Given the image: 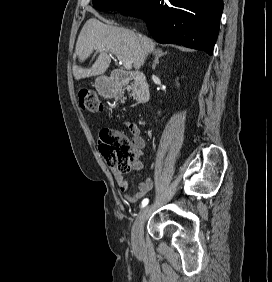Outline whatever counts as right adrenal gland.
Wrapping results in <instances>:
<instances>
[{
  "mask_svg": "<svg viewBox=\"0 0 272 282\" xmlns=\"http://www.w3.org/2000/svg\"><path fill=\"white\" fill-rule=\"evenodd\" d=\"M166 54H167V52H163L162 49L157 48V49L154 50L155 60L152 64V69H155L159 58L162 57L163 55H166Z\"/></svg>",
  "mask_w": 272,
  "mask_h": 282,
  "instance_id": "obj_1",
  "label": "right adrenal gland"
}]
</instances>
